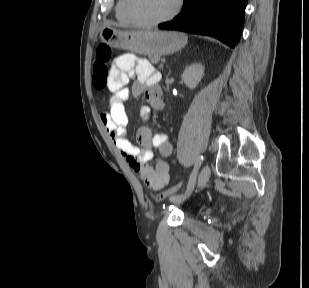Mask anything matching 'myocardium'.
Segmentation results:
<instances>
[{
	"label": "myocardium",
	"mask_w": 309,
	"mask_h": 288,
	"mask_svg": "<svg viewBox=\"0 0 309 288\" xmlns=\"http://www.w3.org/2000/svg\"><path fill=\"white\" fill-rule=\"evenodd\" d=\"M131 3H132V0H124V12L127 18L129 19V21L133 25L138 26V27H154V26L163 24L167 21H170L175 16H177L179 12L181 11L183 0H176L174 8L169 14H167L166 16L162 18L152 20V21H144L136 17L132 11Z\"/></svg>",
	"instance_id": "obj_1"
}]
</instances>
